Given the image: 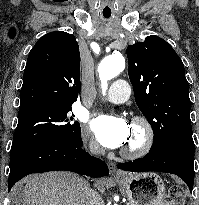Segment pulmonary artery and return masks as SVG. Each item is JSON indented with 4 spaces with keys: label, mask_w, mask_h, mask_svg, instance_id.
<instances>
[{
    "label": "pulmonary artery",
    "mask_w": 199,
    "mask_h": 205,
    "mask_svg": "<svg viewBox=\"0 0 199 205\" xmlns=\"http://www.w3.org/2000/svg\"><path fill=\"white\" fill-rule=\"evenodd\" d=\"M130 94V84L126 80L118 79L111 85L107 100L111 103H122L129 99Z\"/></svg>",
    "instance_id": "e3ab8cb5"
}]
</instances>
